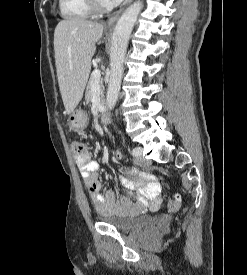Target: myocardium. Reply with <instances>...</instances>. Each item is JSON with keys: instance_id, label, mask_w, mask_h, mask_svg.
<instances>
[{"instance_id": "myocardium-1", "label": "myocardium", "mask_w": 247, "mask_h": 275, "mask_svg": "<svg viewBox=\"0 0 247 275\" xmlns=\"http://www.w3.org/2000/svg\"><path fill=\"white\" fill-rule=\"evenodd\" d=\"M91 10L97 13H103L111 10L113 5H105L100 0H86Z\"/></svg>"}]
</instances>
